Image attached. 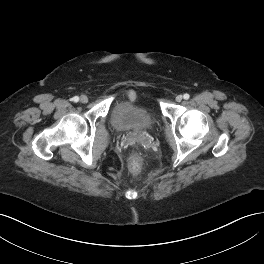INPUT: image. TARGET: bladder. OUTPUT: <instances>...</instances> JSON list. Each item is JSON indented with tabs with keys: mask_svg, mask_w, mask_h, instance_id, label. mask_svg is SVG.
<instances>
[{
	"mask_svg": "<svg viewBox=\"0 0 264 264\" xmlns=\"http://www.w3.org/2000/svg\"><path fill=\"white\" fill-rule=\"evenodd\" d=\"M113 126L119 131L148 129L155 121L153 112L144 104L122 100L116 102L111 111Z\"/></svg>",
	"mask_w": 264,
	"mask_h": 264,
	"instance_id": "31cf9c89",
	"label": "bladder"
}]
</instances>
